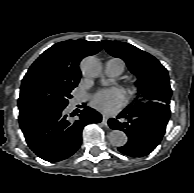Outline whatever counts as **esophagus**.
<instances>
[{
  "label": "esophagus",
  "instance_id": "esophagus-1",
  "mask_svg": "<svg viewBox=\"0 0 194 193\" xmlns=\"http://www.w3.org/2000/svg\"><path fill=\"white\" fill-rule=\"evenodd\" d=\"M102 122H103V124H104V125H106V126H107L108 117H107V116H105V115H103V117H102Z\"/></svg>",
  "mask_w": 194,
  "mask_h": 193
}]
</instances>
